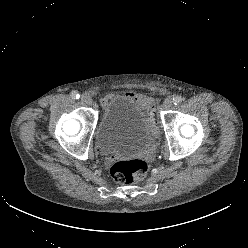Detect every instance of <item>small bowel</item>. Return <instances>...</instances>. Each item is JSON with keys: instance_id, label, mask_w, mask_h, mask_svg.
<instances>
[{"instance_id": "c3829d8e", "label": "small bowel", "mask_w": 248, "mask_h": 248, "mask_svg": "<svg viewBox=\"0 0 248 248\" xmlns=\"http://www.w3.org/2000/svg\"><path fill=\"white\" fill-rule=\"evenodd\" d=\"M128 96L132 97L135 101H137L138 103L144 104L146 106H148L150 104V99L146 96L143 95H137V94H128ZM106 100L103 101V103H105Z\"/></svg>"}]
</instances>
